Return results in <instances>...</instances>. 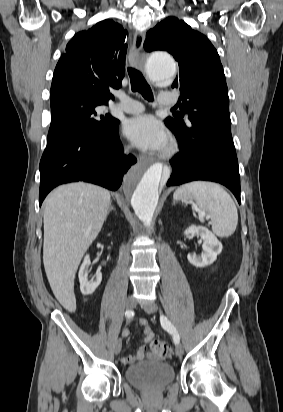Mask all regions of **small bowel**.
<instances>
[{
    "label": "small bowel",
    "instance_id": "small-bowel-1",
    "mask_svg": "<svg viewBox=\"0 0 283 412\" xmlns=\"http://www.w3.org/2000/svg\"><path fill=\"white\" fill-rule=\"evenodd\" d=\"M138 324L143 327L144 344L152 341V339L154 338V334L152 330L150 329V327L148 326L147 320L144 318H141L139 319ZM129 333L130 331L128 329L124 331L125 336L128 335ZM150 356H154V355L150 354ZM146 357H147V353H146L144 345H142L137 349L136 353L124 356L122 358V362L124 364H133L136 362L143 361Z\"/></svg>",
    "mask_w": 283,
    "mask_h": 412
}]
</instances>
